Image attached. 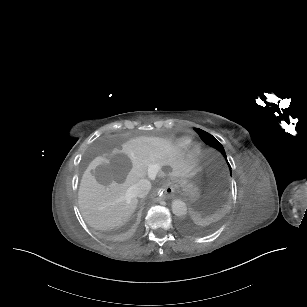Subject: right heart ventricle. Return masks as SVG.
<instances>
[{"label": "right heart ventricle", "mask_w": 307, "mask_h": 307, "mask_svg": "<svg viewBox=\"0 0 307 307\" xmlns=\"http://www.w3.org/2000/svg\"><path fill=\"white\" fill-rule=\"evenodd\" d=\"M192 143L189 137H178L170 143V150L177 154H185Z\"/></svg>", "instance_id": "e07e8e85"}]
</instances>
